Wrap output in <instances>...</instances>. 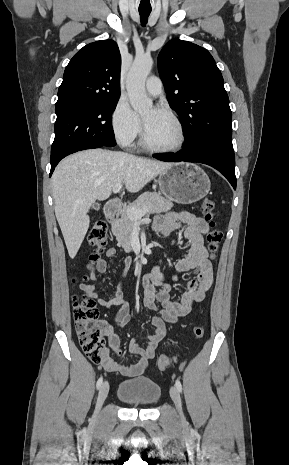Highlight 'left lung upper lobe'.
<instances>
[{"instance_id":"obj_1","label":"left lung upper lobe","mask_w":289,"mask_h":465,"mask_svg":"<svg viewBox=\"0 0 289 465\" xmlns=\"http://www.w3.org/2000/svg\"><path fill=\"white\" fill-rule=\"evenodd\" d=\"M169 105L183 121L184 149L211 141L232 146V113L211 54L188 41H169L158 56Z\"/></svg>"}]
</instances>
